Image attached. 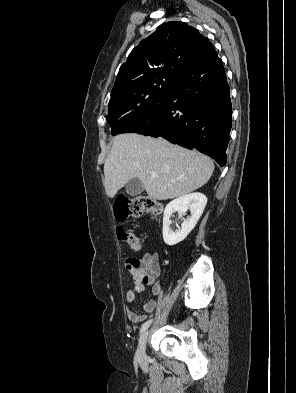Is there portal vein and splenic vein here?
I'll return each mask as SVG.
<instances>
[{
	"label": "portal vein and splenic vein",
	"instance_id": "18ae733b",
	"mask_svg": "<svg viewBox=\"0 0 296 393\" xmlns=\"http://www.w3.org/2000/svg\"><path fill=\"white\" fill-rule=\"evenodd\" d=\"M151 176L154 177V178H156V177H157V173L152 172V173H151Z\"/></svg>",
	"mask_w": 296,
	"mask_h": 393
}]
</instances>
